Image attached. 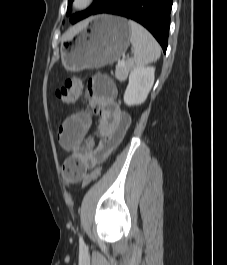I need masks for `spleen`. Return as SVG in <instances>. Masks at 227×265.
Masks as SVG:
<instances>
[{
	"mask_svg": "<svg viewBox=\"0 0 227 265\" xmlns=\"http://www.w3.org/2000/svg\"><path fill=\"white\" fill-rule=\"evenodd\" d=\"M130 42L134 48V64L144 66L155 62L161 54V47L155 38L141 25L129 20Z\"/></svg>",
	"mask_w": 227,
	"mask_h": 265,
	"instance_id": "1",
	"label": "spleen"
}]
</instances>
